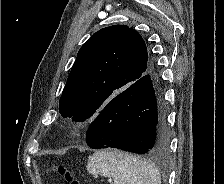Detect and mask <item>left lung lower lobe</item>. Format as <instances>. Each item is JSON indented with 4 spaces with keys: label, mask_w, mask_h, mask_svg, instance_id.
<instances>
[{
    "label": "left lung lower lobe",
    "mask_w": 224,
    "mask_h": 184,
    "mask_svg": "<svg viewBox=\"0 0 224 184\" xmlns=\"http://www.w3.org/2000/svg\"><path fill=\"white\" fill-rule=\"evenodd\" d=\"M87 145L137 154H161L169 138L161 93L145 74L112 98L91 123Z\"/></svg>",
    "instance_id": "0a47b994"
}]
</instances>
